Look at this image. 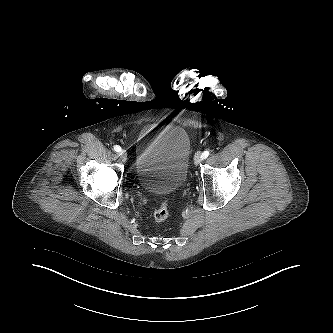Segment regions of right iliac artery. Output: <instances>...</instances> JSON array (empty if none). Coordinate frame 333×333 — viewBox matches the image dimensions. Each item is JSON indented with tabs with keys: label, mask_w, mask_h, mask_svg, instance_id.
I'll use <instances>...</instances> for the list:
<instances>
[{
	"label": "right iliac artery",
	"mask_w": 333,
	"mask_h": 333,
	"mask_svg": "<svg viewBox=\"0 0 333 333\" xmlns=\"http://www.w3.org/2000/svg\"><path fill=\"white\" fill-rule=\"evenodd\" d=\"M113 149L116 152H121V147L119 145H114Z\"/></svg>",
	"instance_id": "right-iliac-artery-1"
}]
</instances>
